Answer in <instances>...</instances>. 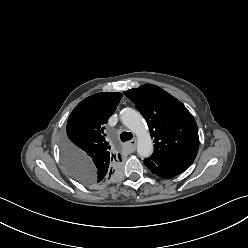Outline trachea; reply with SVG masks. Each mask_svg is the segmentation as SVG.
<instances>
[{"label": "trachea", "mask_w": 248, "mask_h": 248, "mask_svg": "<svg viewBox=\"0 0 248 248\" xmlns=\"http://www.w3.org/2000/svg\"><path fill=\"white\" fill-rule=\"evenodd\" d=\"M133 137L132 133L131 132H122L120 134V139L122 142H126L128 140H131Z\"/></svg>", "instance_id": "trachea-1"}]
</instances>
